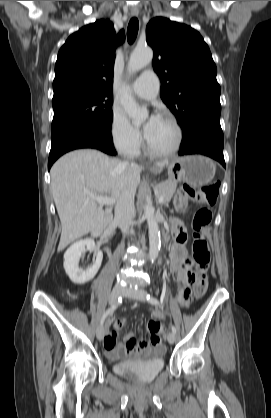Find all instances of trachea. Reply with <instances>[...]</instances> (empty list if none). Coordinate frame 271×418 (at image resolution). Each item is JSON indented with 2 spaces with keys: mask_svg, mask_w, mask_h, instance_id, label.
Listing matches in <instances>:
<instances>
[{
  "mask_svg": "<svg viewBox=\"0 0 271 418\" xmlns=\"http://www.w3.org/2000/svg\"><path fill=\"white\" fill-rule=\"evenodd\" d=\"M138 28H139V22L138 19L133 17L129 24H128V28H127V39L129 44H132L137 36L138 33Z\"/></svg>",
  "mask_w": 271,
  "mask_h": 418,
  "instance_id": "1",
  "label": "trachea"
}]
</instances>
